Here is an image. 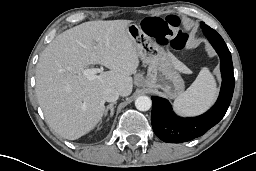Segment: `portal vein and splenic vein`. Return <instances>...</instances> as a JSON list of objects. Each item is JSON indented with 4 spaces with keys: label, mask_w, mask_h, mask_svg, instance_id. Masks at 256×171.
<instances>
[{
    "label": "portal vein and splenic vein",
    "mask_w": 256,
    "mask_h": 171,
    "mask_svg": "<svg viewBox=\"0 0 256 171\" xmlns=\"http://www.w3.org/2000/svg\"><path fill=\"white\" fill-rule=\"evenodd\" d=\"M104 69L103 67L100 68H88V69H84L82 70V75L84 77H86L89 80H93L96 78V74L98 73H103Z\"/></svg>",
    "instance_id": "1"
}]
</instances>
